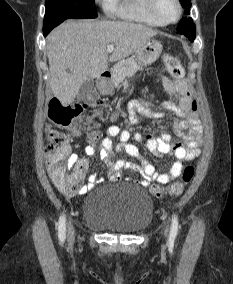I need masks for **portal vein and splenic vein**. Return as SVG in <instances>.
<instances>
[{
    "mask_svg": "<svg viewBox=\"0 0 233 284\" xmlns=\"http://www.w3.org/2000/svg\"><path fill=\"white\" fill-rule=\"evenodd\" d=\"M114 50V46L113 45H108L107 46V52L111 53Z\"/></svg>",
    "mask_w": 233,
    "mask_h": 284,
    "instance_id": "1",
    "label": "portal vein and splenic vein"
}]
</instances>
